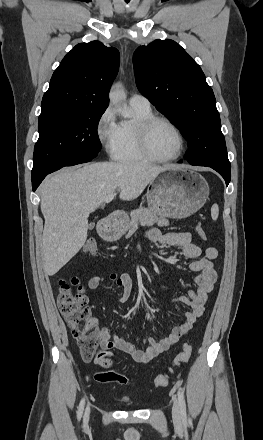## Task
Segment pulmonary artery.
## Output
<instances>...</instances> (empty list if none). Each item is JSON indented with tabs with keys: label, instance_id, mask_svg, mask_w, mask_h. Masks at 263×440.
I'll return each mask as SVG.
<instances>
[{
	"label": "pulmonary artery",
	"instance_id": "obj_1",
	"mask_svg": "<svg viewBox=\"0 0 263 440\" xmlns=\"http://www.w3.org/2000/svg\"><path fill=\"white\" fill-rule=\"evenodd\" d=\"M129 104L134 108L148 109L150 108L149 100L141 94H133L129 98Z\"/></svg>",
	"mask_w": 263,
	"mask_h": 440
}]
</instances>
